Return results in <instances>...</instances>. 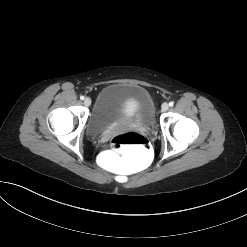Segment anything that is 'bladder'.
Returning a JSON list of instances; mask_svg holds the SVG:
<instances>
[{
    "label": "bladder",
    "instance_id": "31cf9c89",
    "mask_svg": "<svg viewBox=\"0 0 247 247\" xmlns=\"http://www.w3.org/2000/svg\"><path fill=\"white\" fill-rule=\"evenodd\" d=\"M120 122L138 127L154 125V102L146 89L137 85L113 84L99 94L88 120V131L104 132Z\"/></svg>",
    "mask_w": 247,
    "mask_h": 247
}]
</instances>
